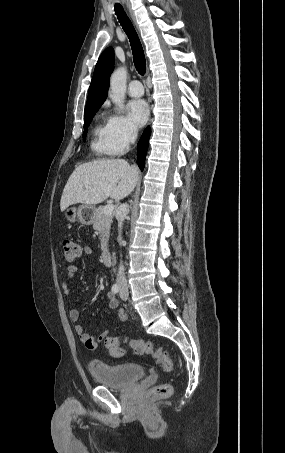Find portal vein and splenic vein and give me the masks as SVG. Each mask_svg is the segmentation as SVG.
Listing matches in <instances>:
<instances>
[{"label":"portal vein and splenic vein","instance_id":"obj_1","mask_svg":"<svg viewBox=\"0 0 285 453\" xmlns=\"http://www.w3.org/2000/svg\"><path fill=\"white\" fill-rule=\"evenodd\" d=\"M113 210H114V205L113 204H108V205H106L104 207L103 211H104L105 214H112Z\"/></svg>","mask_w":285,"mask_h":453}]
</instances>
